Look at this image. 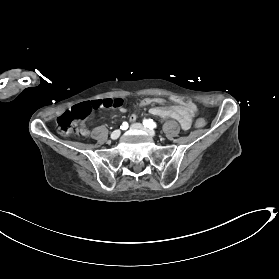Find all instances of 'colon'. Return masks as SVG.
Masks as SVG:
<instances>
[{
  "mask_svg": "<svg viewBox=\"0 0 279 279\" xmlns=\"http://www.w3.org/2000/svg\"><path fill=\"white\" fill-rule=\"evenodd\" d=\"M181 104L191 113L195 114L199 111L197 103L189 97H177ZM123 104L121 98H105L94 100L91 102H83L73 106L70 110L61 114L57 118V127L62 134L79 133L78 123L93 109L120 107ZM196 126L203 128L206 120L203 117L196 119Z\"/></svg>",
  "mask_w": 279,
  "mask_h": 279,
  "instance_id": "colon-1",
  "label": "colon"
}]
</instances>
